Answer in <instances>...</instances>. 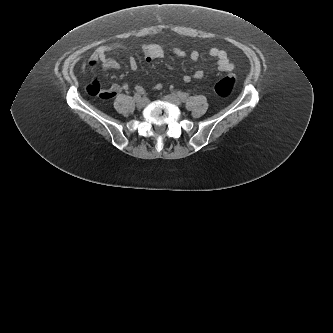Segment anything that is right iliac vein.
<instances>
[{"label": "right iliac vein", "instance_id": "1", "mask_svg": "<svg viewBox=\"0 0 333 333\" xmlns=\"http://www.w3.org/2000/svg\"><path fill=\"white\" fill-rule=\"evenodd\" d=\"M148 103H149L148 98H146V97L140 98V99L137 101V107H138V108H144V107L147 106Z\"/></svg>", "mask_w": 333, "mask_h": 333}]
</instances>
